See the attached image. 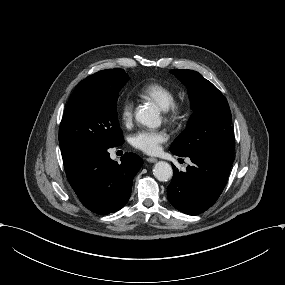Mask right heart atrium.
Listing matches in <instances>:
<instances>
[{"label":"right heart atrium","instance_id":"right-heart-atrium-1","mask_svg":"<svg viewBox=\"0 0 285 285\" xmlns=\"http://www.w3.org/2000/svg\"><path fill=\"white\" fill-rule=\"evenodd\" d=\"M135 108V99L131 95L124 96L120 103V115L126 124H129L132 121Z\"/></svg>","mask_w":285,"mask_h":285}]
</instances>
